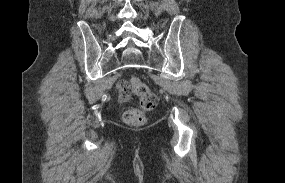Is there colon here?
<instances>
[{
  "mask_svg": "<svg viewBox=\"0 0 285 183\" xmlns=\"http://www.w3.org/2000/svg\"><path fill=\"white\" fill-rule=\"evenodd\" d=\"M133 92L140 99L141 109H130L124 114V121L129 126L138 127L146 123V113L154 110L158 104L157 95L137 78L130 80Z\"/></svg>",
  "mask_w": 285,
  "mask_h": 183,
  "instance_id": "obj_1",
  "label": "colon"
}]
</instances>
